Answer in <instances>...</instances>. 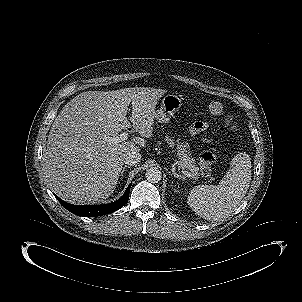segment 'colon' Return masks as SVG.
<instances>
[{
    "mask_svg": "<svg viewBox=\"0 0 302 302\" xmlns=\"http://www.w3.org/2000/svg\"><path fill=\"white\" fill-rule=\"evenodd\" d=\"M209 112L216 117L223 119L224 123L231 127L233 130H237V125L234 122L233 117L226 113L224 105L219 101H213L209 104ZM216 156L212 151H204L200 155L199 166L200 173L205 178H210L212 174V166L215 162Z\"/></svg>",
    "mask_w": 302,
    "mask_h": 302,
    "instance_id": "colon-1",
    "label": "colon"
}]
</instances>
